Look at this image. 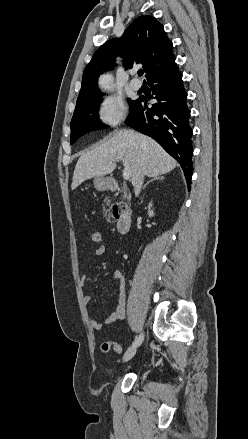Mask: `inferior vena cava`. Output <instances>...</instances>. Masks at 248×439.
Here are the masks:
<instances>
[{"mask_svg":"<svg viewBox=\"0 0 248 439\" xmlns=\"http://www.w3.org/2000/svg\"><path fill=\"white\" fill-rule=\"evenodd\" d=\"M144 176H145L144 172L140 173V175L137 177L136 181L133 184L135 196H138L141 191L142 184L144 181Z\"/></svg>","mask_w":248,"mask_h":439,"instance_id":"602c4592","label":"inferior vena cava"}]
</instances>
